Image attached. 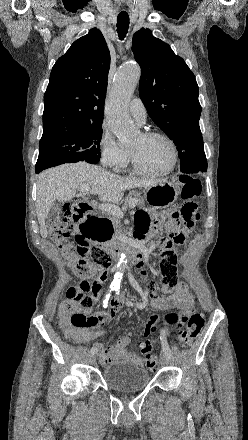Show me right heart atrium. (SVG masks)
<instances>
[{
    "label": "right heart atrium",
    "mask_w": 248,
    "mask_h": 440,
    "mask_svg": "<svg viewBox=\"0 0 248 440\" xmlns=\"http://www.w3.org/2000/svg\"><path fill=\"white\" fill-rule=\"evenodd\" d=\"M102 162L111 169L123 168L129 160V150L118 143L107 126H103L99 139Z\"/></svg>",
    "instance_id": "d8ad5b80"
}]
</instances>
